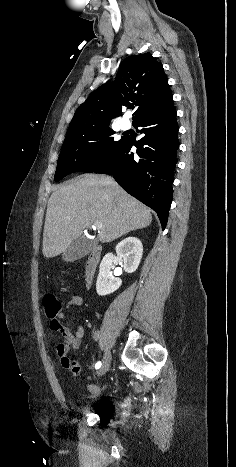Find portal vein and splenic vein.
Returning a JSON list of instances; mask_svg holds the SVG:
<instances>
[{"instance_id": "portal-vein-and-splenic-vein-1", "label": "portal vein and splenic vein", "mask_w": 236, "mask_h": 467, "mask_svg": "<svg viewBox=\"0 0 236 467\" xmlns=\"http://www.w3.org/2000/svg\"><path fill=\"white\" fill-rule=\"evenodd\" d=\"M95 229H102L103 228V225L102 224H96L94 226Z\"/></svg>"}]
</instances>
